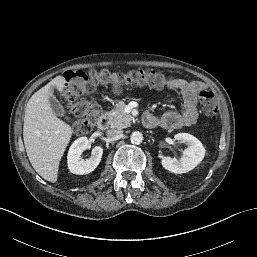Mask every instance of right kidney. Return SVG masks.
I'll use <instances>...</instances> for the list:
<instances>
[{
	"label": "right kidney",
	"mask_w": 257,
	"mask_h": 257,
	"mask_svg": "<svg viewBox=\"0 0 257 257\" xmlns=\"http://www.w3.org/2000/svg\"><path fill=\"white\" fill-rule=\"evenodd\" d=\"M88 148L89 141L87 137H80L73 142L67 156L68 169L71 173L78 175L88 174L94 171L99 165L103 148L101 146L94 147L91 152V157L83 161L81 160V155Z\"/></svg>",
	"instance_id": "obj_1"
}]
</instances>
